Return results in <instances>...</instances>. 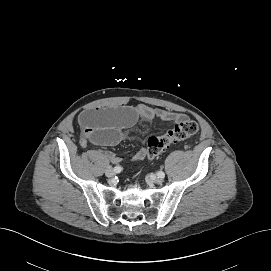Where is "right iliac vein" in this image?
<instances>
[{"instance_id":"right-iliac-vein-1","label":"right iliac vein","mask_w":271,"mask_h":271,"mask_svg":"<svg viewBox=\"0 0 271 271\" xmlns=\"http://www.w3.org/2000/svg\"><path fill=\"white\" fill-rule=\"evenodd\" d=\"M105 174H106V176L109 177V178H111V177H113V176L115 175L113 169H111V168H108V169L106 170Z\"/></svg>"}]
</instances>
